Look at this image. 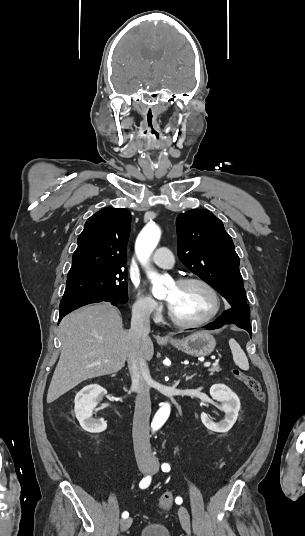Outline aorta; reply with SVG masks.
I'll list each match as a JSON object with an SVG mask.
<instances>
[{
	"label": "aorta",
	"mask_w": 305,
	"mask_h": 536,
	"mask_svg": "<svg viewBox=\"0 0 305 536\" xmlns=\"http://www.w3.org/2000/svg\"><path fill=\"white\" fill-rule=\"evenodd\" d=\"M161 236L160 228L155 224L146 225L137 237L135 243L136 256L143 267L146 268L148 278L152 283V294L155 298H162L166 295L169 280L161 277L156 272L149 269V258L156 248ZM170 404L163 403L156 412L152 426L159 429L170 415Z\"/></svg>",
	"instance_id": "aorta-1"
}]
</instances>
